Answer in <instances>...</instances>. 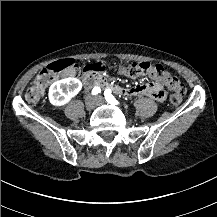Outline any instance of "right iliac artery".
Returning <instances> with one entry per match:
<instances>
[{
	"label": "right iliac artery",
	"instance_id": "right-iliac-artery-1",
	"mask_svg": "<svg viewBox=\"0 0 217 217\" xmlns=\"http://www.w3.org/2000/svg\"><path fill=\"white\" fill-rule=\"evenodd\" d=\"M101 92V89L99 88V87H95V88H93V90H92V95H97L98 93H100Z\"/></svg>",
	"mask_w": 217,
	"mask_h": 217
}]
</instances>
